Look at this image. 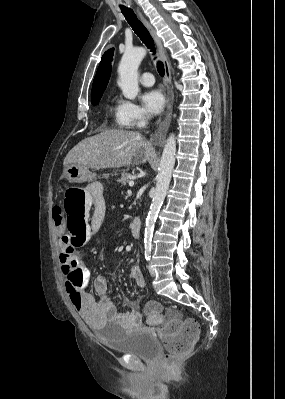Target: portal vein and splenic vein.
Masks as SVG:
<instances>
[{
  "label": "portal vein and splenic vein",
  "mask_w": 285,
  "mask_h": 399,
  "mask_svg": "<svg viewBox=\"0 0 285 399\" xmlns=\"http://www.w3.org/2000/svg\"><path fill=\"white\" fill-rule=\"evenodd\" d=\"M129 186L130 187L134 186V181L133 180L129 181Z\"/></svg>",
  "instance_id": "1"
}]
</instances>
